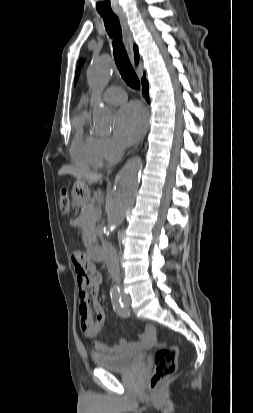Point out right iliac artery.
Masks as SVG:
<instances>
[{"instance_id":"obj_1","label":"right iliac artery","mask_w":253,"mask_h":413,"mask_svg":"<svg viewBox=\"0 0 253 413\" xmlns=\"http://www.w3.org/2000/svg\"><path fill=\"white\" fill-rule=\"evenodd\" d=\"M111 301L115 312L121 317H127L129 312L121 301V294L119 289H113L110 292Z\"/></svg>"}]
</instances>
